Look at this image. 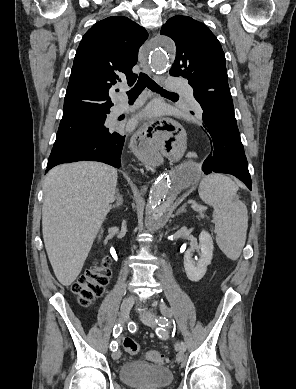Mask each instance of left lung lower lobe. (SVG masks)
Listing matches in <instances>:
<instances>
[{"label":"left lung lower lobe","mask_w":296,"mask_h":389,"mask_svg":"<svg viewBox=\"0 0 296 389\" xmlns=\"http://www.w3.org/2000/svg\"><path fill=\"white\" fill-rule=\"evenodd\" d=\"M203 123L210 140V153L203 163L205 174H232L251 190V178L234 114L230 89L203 93Z\"/></svg>","instance_id":"left-lung-lower-lobe-1"}]
</instances>
